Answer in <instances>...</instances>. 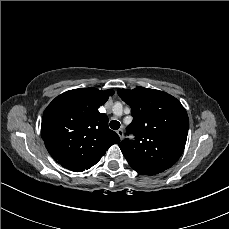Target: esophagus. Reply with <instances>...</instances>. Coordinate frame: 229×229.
Returning <instances> with one entry per match:
<instances>
[{"label": "esophagus", "instance_id": "esophagus-1", "mask_svg": "<svg viewBox=\"0 0 229 229\" xmlns=\"http://www.w3.org/2000/svg\"><path fill=\"white\" fill-rule=\"evenodd\" d=\"M116 132L119 135L120 139L122 140L123 137H124L123 130L122 129H118Z\"/></svg>", "mask_w": 229, "mask_h": 229}]
</instances>
